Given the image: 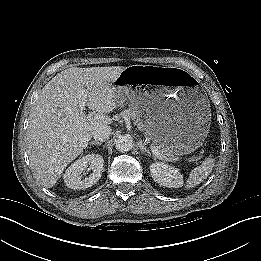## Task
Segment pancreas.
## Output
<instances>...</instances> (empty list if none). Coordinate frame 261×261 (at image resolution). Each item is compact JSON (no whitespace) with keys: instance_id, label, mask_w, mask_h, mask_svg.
<instances>
[{"instance_id":"obj_1","label":"pancreas","mask_w":261,"mask_h":261,"mask_svg":"<svg viewBox=\"0 0 261 261\" xmlns=\"http://www.w3.org/2000/svg\"><path fill=\"white\" fill-rule=\"evenodd\" d=\"M122 115L131 118L138 127L143 128V123L141 122L140 115L137 111L129 108L124 110L122 112ZM154 145L156 148H158V150L162 153V155L165 156L167 160L170 161L177 160V155L170 149L169 146H164L162 144H155V143Z\"/></svg>"}]
</instances>
